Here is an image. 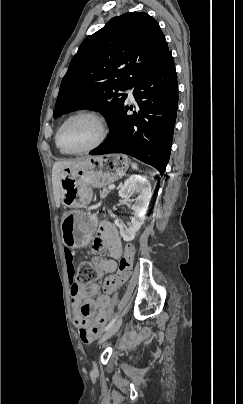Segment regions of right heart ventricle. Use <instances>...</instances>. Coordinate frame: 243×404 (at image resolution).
I'll return each instance as SVG.
<instances>
[{"mask_svg": "<svg viewBox=\"0 0 243 404\" xmlns=\"http://www.w3.org/2000/svg\"><path fill=\"white\" fill-rule=\"evenodd\" d=\"M55 144H56V147H57L58 151H59L61 154H63V155H71V154H72V153L68 152L65 148L60 147V145L58 144V141H57V137H56V136H55Z\"/></svg>", "mask_w": 243, "mask_h": 404, "instance_id": "1", "label": "right heart ventricle"}]
</instances>
